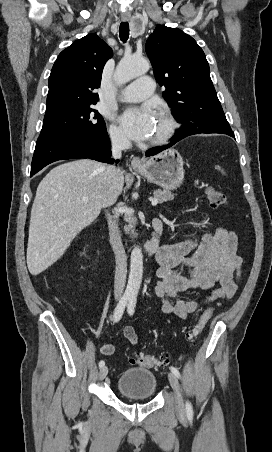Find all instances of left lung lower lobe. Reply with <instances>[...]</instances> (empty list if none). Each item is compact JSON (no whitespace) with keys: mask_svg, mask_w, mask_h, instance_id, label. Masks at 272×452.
<instances>
[{"mask_svg":"<svg viewBox=\"0 0 272 452\" xmlns=\"http://www.w3.org/2000/svg\"><path fill=\"white\" fill-rule=\"evenodd\" d=\"M199 133H218V132H206V131L195 130V129H188V128L182 129L181 128L180 131H178L175 134V136H173V138H172L173 141L170 144H168L166 146H163V147H155V148L149 149L146 152V156L147 157L153 156V155H155V154H157V153H159V152H161V151L173 146L176 142H178L179 140L183 139L184 137H187V136L193 135V134H199ZM219 133L227 134L229 136H233L234 135L232 130H227V131H223V132H219Z\"/></svg>","mask_w":272,"mask_h":452,"instance_id":"0a47b994","label":"left lung lower lobe"}]
</instances>
